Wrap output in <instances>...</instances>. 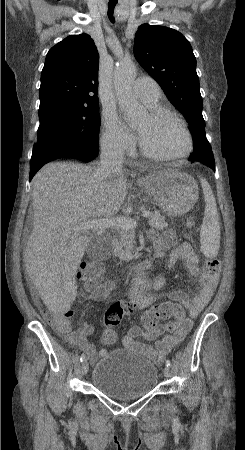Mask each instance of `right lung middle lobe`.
I'll return each mask as SVG.
<instances>
[{"label": "right lung middle lobe", "mask_w": 245, "mask_h": 450, "mask_svg": "<svg viewBox=\"0 0 245 450\" xmlns=\"http://www.w3.org/2000/svg\"><path fill=\"white\" fill-rule=\"evenodd\" d=\"M39 119L37 146L31 161L49 153L98 149L99 105L80 107L53 104L39 109Z\"/></svg>", "instance_id": "obj_1"}]
</instances>
